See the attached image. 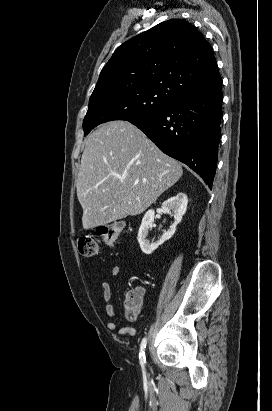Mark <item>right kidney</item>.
Wrapping results in <instances>:
<instances>
[{"label":"right kidney","instance_id":"1","mask_svg":"<svg viewBox=\"0 0 272 411\" xmlns=\"http://www.w3.org/2000/svg\"><path fill=\"white\" fill-rule=\"evenodd\" d=\"M188 198L185 193H178L162 203V210L165 213H170L174 217V223L170 226L167 232L157 242H150L147 239L149 230L153 227L154 210H148L142 219L141 226L138 232V242L143 253L151 254L159 245L169 240L176 232L177 225L181 222L183 215L187 209Z\"/></svg>","mask_w":272,"mask_h":411}]
</instances>
